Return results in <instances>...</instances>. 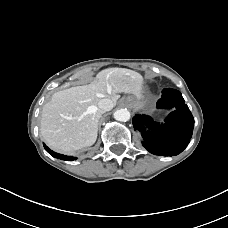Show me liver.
I'll return each mask as SVG.
<instances>
[{
  "mask_svg": "<svg viewBox=\"0 0 228 228\" xmlns=\"http://www.w3.org/2000/svg\"><path fill=\"white\" fill-rule=\"evenodd\" d=\"M142 84L138 72L115 67L99 72L90 84L54 93L42 110V137L52 149L62 153L93 145L104 113L98 107L99 101L108 98L113 108L120 93L139 97Z\"/></svg>",
  "mask_w": 228,
  "mask_h": 228,
  "instance_id": "1",
  "label": "liver"
}]
</instances>
